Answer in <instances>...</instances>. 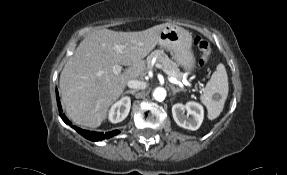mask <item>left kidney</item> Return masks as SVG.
<instances>
[{"mask_svg": "<svg viewBox=\"0 0 287 175\" xmlns=\"http://www.w3.org/2000/svg\"><path fill=\"white\" fill-rule=\"evenodd\" d=\"M185 111L187 115H185ZM172 115L175 122L185 129L197 130L203 122V107L196 102H188L186 105L177 103L172 106ZM191 115V117H189Z\"/></svg>", "mask_w": 287, "mask_h": 175, "instance_id": "obj_1", "label": "left kidney"}]
</instances>
